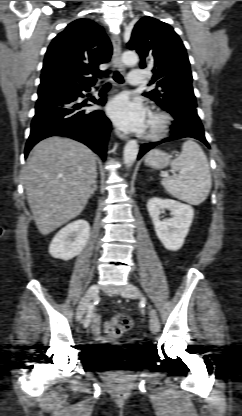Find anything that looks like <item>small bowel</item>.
Segmentation results:
<instances>
[{
    "mask_svg": "<svg viewBox=\"0 0 242 416\" xmlns=\"http://www.w3.org/2000/svg\"><path fill=\"white\" fill-rule=\"evenodd\" d=\"M90 318H91V322H92V325H91L92 334L95 337H99V334H100V318L96 314L91 315Z\"/></svg>",
    "mask_w": 242,
    "mask_h": 416,
    "instance_id": "small-bowel-1",
    "label": "small bowel"
}]
</instances>
